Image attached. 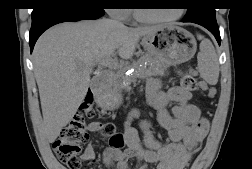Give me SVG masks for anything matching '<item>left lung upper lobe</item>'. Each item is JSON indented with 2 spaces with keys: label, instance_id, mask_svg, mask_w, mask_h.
<instances>
[{
  "label": "left lung upper lobe",
  "instance_id": "1",
  "mask_svg": "<svg viewBox=\"0 0 252 169\" xmlns=\"http://www.w3.org/2000/svg\"><path fill=\"white\" fill-rule=\"evenodd\" d=\"M214 0H192V7L188 8L184 20L216 19Z\"/></svg>",
  "mask_w": 252,
  "mask_h": 169
}]
</instances>
